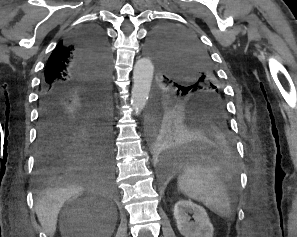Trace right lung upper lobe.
<instances>
[{"instance_id":"obj_1","label":"right lung upper lobe","mask_w":297,"mask_h":237,"mask_svg":"<svg viewBox=\"0 0 297 237\" xmlns=\"http://www.w3.org/2000/svg\"><path fill=\"white\" fill-rule=\"evenodd\" d=\"M75 55L76 48L70 38L57 45L46 65L42 90L49 92L61 87L74 94L86 88L74 69Z\"/></svg>"}]
</instances>
